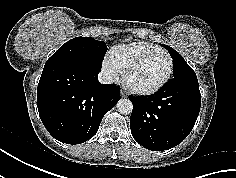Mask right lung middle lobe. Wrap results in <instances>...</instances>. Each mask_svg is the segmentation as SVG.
Here are the masks:
<instances>
[{"label":"right lung middle lobe","mask_w":236,"mask_h":178,"mask_svg":"<svg viewBox=\"0 0 236 178\" xmlns=\"http://www.w3.org/2000/svg\"><path fill=\"white\" fill-rule=\"evenodd\" d=\"M106 51V43L103 41H97L92 37H76L63 44L47 62L87 60L101 67Z\"/></svg>","instance_id":"obj_1"}]
</instances>
